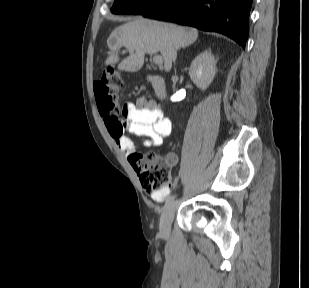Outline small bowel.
<instances>
[{
  "mask_svg": "<svg viewBox=\"0 0 309 288\" xmlns=\"http://www.w3.org/2000/svg\"><path fill=\"white\" fill-rule=\"evenodd\" d=\"M130 108L129 117L125 123H118L112 119L104 118L105 126L109 135L114 139L120 150L128 157L131 166L136 170V164L131 156L137 152L134 142L125 132H129L142 138V145L147 148L158 147L163 139L171 132L172 122L165 117L163 110L154 100L138 98L136 103H128ZM167 162L171 166L178 163V156L175 152L167 153ZM175 182L171 188L160 193L152 194L154 202H163L170 191L175 188Z\"/></svg>",
  "mask_w": 309,
  "mask_h": 288,
  "instance_id": "1",
  "label": "small bowel"
}]
</instances>
